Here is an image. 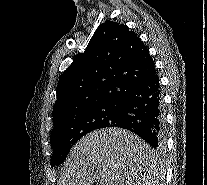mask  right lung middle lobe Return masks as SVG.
<instances>
[{
    "label": "right lung middle lobe",
    "mask_w": 207,
    "mask_h": 185,
    "mask_svg": "<svg viewBox=\"0 0 207 185\" xmlns=\"http://www.w3.org/2000/svg\"><path fill=\"white\" fill-rule=\"evenodd\" d=\"M119 108L118 103H110L80 112L55 124L51 135V165L62 164L81 137L116 121Z\"/></svg>",
    "instance_id": "right-lung-middle-lobe-1"
}]
</instances>
